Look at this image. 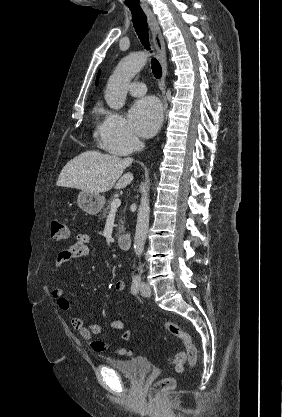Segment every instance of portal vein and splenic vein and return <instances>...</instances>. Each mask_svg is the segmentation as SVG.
<instances>
[{"label":"portal vein and splenic vein","instance_id":"portal-vein-and-splenic-vein-1","mask_svg":"<svg viewBox=\"0 0 282 417\" xmlns=\"http://www.w3.org/2000/svg\"><path fill=\"white\" fill-rule=\"evenodd\" d=\"M121 204V200L120 198H113L112 202H111V209L113 212H118L119 211V206Z\"/></svg>","mask_w":282,"mask_h":417}]
</instances>
